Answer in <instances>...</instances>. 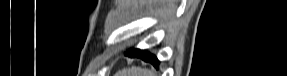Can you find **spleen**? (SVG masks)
<instances>
[{"mask_svg":"<svg viewBox=\"0 0 287 76\" xmlns=\"http://www.w3.org/2000/svg\"><path fill=\"white\" fill-rule=\"evenodd\" d=\"M115 76H152V73L148 69H144L141 67H131V68H124L118 71Z\"/></svg>","mask_w":287,"mask_h":76,"instance_id":"obj_1","label":"spleen"}]
</instances>
